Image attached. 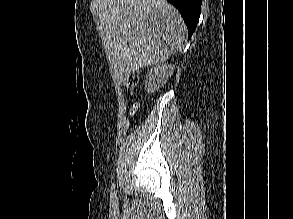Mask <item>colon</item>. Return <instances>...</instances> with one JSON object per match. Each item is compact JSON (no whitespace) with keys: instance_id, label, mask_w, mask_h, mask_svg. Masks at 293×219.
I'll return each mask as SVG.
<instances>
[{"instance_id":"5ec220e1","label":"colon","mask_w":293,"mask_h":219,"mask_svg":"<svg viewBox=\"0 0 293 219\" xmlns=\"http://www.w3.org/2000/svg\"><path fill=\"white\" fill-rule=\"evenodd\" d=\"M138 83V76L136 74H130L127 76V78L125 79V85L128 88H133L137 85ZM136 105L133 106L131 113L134 114L135 110H136Z\"/></svg>"}]
</instances>
